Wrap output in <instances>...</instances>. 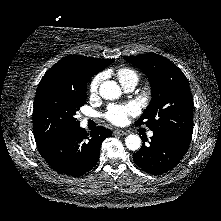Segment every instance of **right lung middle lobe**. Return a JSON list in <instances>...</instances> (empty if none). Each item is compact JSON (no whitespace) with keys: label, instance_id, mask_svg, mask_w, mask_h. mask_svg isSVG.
<instances>
[{"label":"right lung middle lobe","instance_id":"obj_1","mask_svg":"<svg viewBox=\"0 0 221 221\" xmlns=\"http://www.w3.org/2000/svg\"><path fill=\"white\" fill-rule=\"evenodd\" d=\"M86 103V86L72 88L45 83L39 85L33 109V129L37 145L47 143L80 125L76 112Z\"/></svg>","mask_w":221,"mask_h":221}]
</instances>
